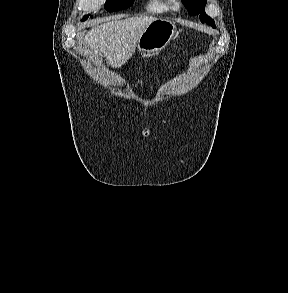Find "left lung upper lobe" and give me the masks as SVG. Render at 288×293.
<instances>
[{
    "label": "left lung upper lobe",
    "instance_id": "5c2ea615",
    "mask_svg": "<svg viewBox=\"0 0 288 293\" xmlns=\"http://www.w3.org/2000/svg\"><path fill=\"white\" fill-rule=\"evenodd\" d=\"M190 15L200 14L202 23L206 22L213 28H216L214 20H212L204 11L207 0H182Z\"/></svg>",
    "mask_w": 288,
    "mask_h": 293
}]
</instances>
